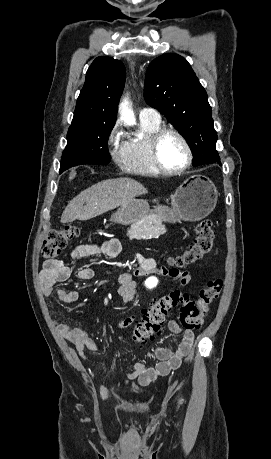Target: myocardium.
<instances>
[{
    "label": "myocardium",
    "mask_w": 271,
    "mask_h": 459,
    "mask_svg": "<svg viewBox=\"0 0 271 459\" xmlns=\"http://www.w3.org/2000/svg\"><path fill=\"white\" fill-rule=\"evenodd\" d=\"M167 134L177 135L178 137L182 139V141L186 145V148L188 151V160L181 167H178V168L169 167L162 160L161 153H160V144H161L163 137ZM151 157H152L153 163L156 165V167L161 172L165 174H169V175H177V174L184 173L192 166L195 155H194L193 147L188 137L180 129L175 128V127H161L156 132H154L151 137Z\"/></svg>",
    "instance_id": "1"
}]
</instances>
